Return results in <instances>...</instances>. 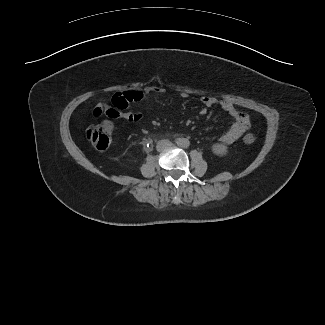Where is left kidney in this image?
<instances>
[{"label":"left kidney","instance_id":"1","mask_svg":"<svg viewBox=\"0 0 325 325\" xmlns=\"http://www.w3.org/2000/svg\"><path fill=\"white\" fill-rule=\"evenodd\" d=\"M211 149H212V152L218 156H224L228 152L227 146H225L223 144H214Z\"/></svg>","mask_w":325,"mask_h":325}]
</instances>
